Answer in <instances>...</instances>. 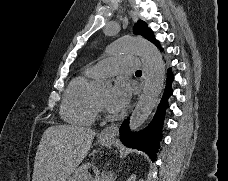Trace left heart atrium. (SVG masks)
Listing matches in <instances>:
<instances>
[{
	"mask_svg": "<svg viewBox=\"0 0 228 181\" xmlns=\"http://www.w3.org/2000/svg\"><path fill=\"white\" fill-rule=\"evenodd\" d=\"M130 94V85L126 81H118L112 89L107 105L114 112H119L124 109Z\"/></svg>",
	"mask_w": 228,
	"mask_h": 181,
	"instance_id": "1",
	"label": "left heart atrium"
}]
</instances>
